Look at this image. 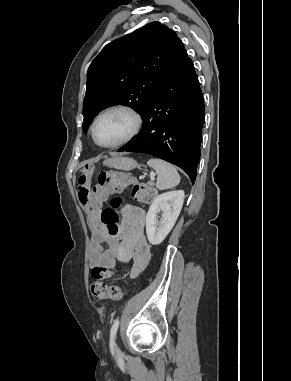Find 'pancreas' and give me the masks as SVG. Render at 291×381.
Wrapping results in <instances>:
<instances>
[{
	"label": "pancreas",
	"instance_id": "pancreas-1",
	"mask_svg": "<svg viewBox=\"0 0 291 381\" xmlns=\"http://www.w3.org/2000/svg\"><path fill=\"white\" fill-rule=\"evenodd\" d=\"M150 186H153L154 184L152 182L149 183Z\"/></svg>",
	"mask_w": 291,
	"mask_h": 381
}]
</instances>
